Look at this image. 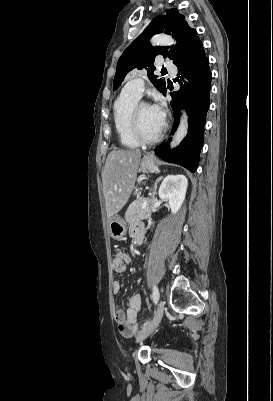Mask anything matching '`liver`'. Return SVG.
I'll use <instances>...</instances> for the list:
<instances>
[{
	"mask_svg": "<svg viewBox=\"0 0 273 401\" xmlns=\"http://www.w3.org/2000/svg\"><path fill=\"white\" fill-rule=\"evenodd\" d=\"M140 158L139 148L109 152L102 172L108 219L126 205L135 184Z\"/></svg>",
	"mask_w": 273,
	"mask_h": 401,
	"instance_id": "liver-1",
	"label": "liver"
}]
</instances>
